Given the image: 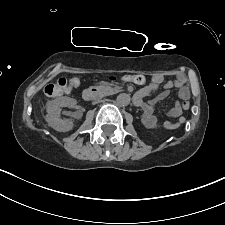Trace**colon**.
<instances>
[{
    "mask_svg": "<svg viewBox=\"0 0 225 225\" xmlns=\"http://www.w3.org/2000/svg\"><path fill=\"white\" fill-rule=\"evenodd\" d=\"M122 80L125 82H132L136 84H144L147 82L148 78L147 76L143 74H127L122 77ZM80 85V80L76 77H72L69 79H59L55 83H51L47 85L44 89V92L49 97H54L61 95L64 92H69ZM180 108L183 110H188L190 108V103L186 100H182L180 103ZM184 122V121H183ZM182 122V123H183Z\"/></svg>",
    "mask_w": 225,
    "mask_h": 225,
    "instance_id": "5ec220e1",
    "label": "colon"
}]
</instances>
